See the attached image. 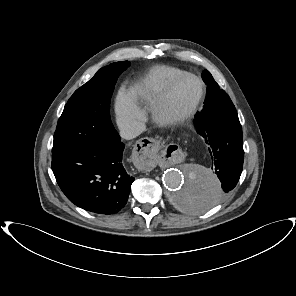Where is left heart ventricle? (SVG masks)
Segmentation results:
<instances>
[{
  "label": "left heart ventricle",
  "instance_id": "1",
  "mask_svg": "<svg viewBox=\"0 0 296 296\" xmlns=\"http://www.w3.org/2000/svg\"><path fill=\"white\" fill-rule=\"evenodd\" d=\"M199 85L196 80L186 78L173 90L170 97V110L173 113H181L188 109L197 99Z\"/></svg>",
  "mask_w": 296,
  "mask_h": 296
}]
</instances>
